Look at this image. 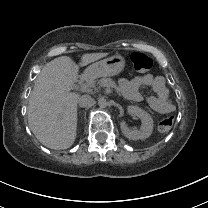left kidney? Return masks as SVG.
Masks as SVG:
<instances>
[{"mask_svg": "<svg viewBox=\"0 0 208 208\" xmlns=\"http://www.w3.org/2000/svg\"><path fill=\"white\" fill-rule=\"evenodd\" d=\"M127 111L129 114H133L139 117L142 121L140 130H130L125 122H121L122 133L131 140L146 139L153 131V119L146 111L137 106H128Z\"/></svg>", "mask_w": 208, "mask_h": 208, "instance_id": "obj_1", "label": "left kidney"}]
</instances>
